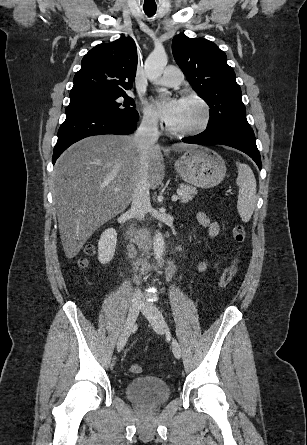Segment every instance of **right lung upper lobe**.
Masks as SVG:
<instances>
[{
    "label": "right lung upper lobe",
    "mask_w": 307,
    "mask_h": 445,
    "mask_svg": "<svg viewBox=\"0 0 307 445\" xmlns=\"http://www.w3.org/2000/svg\"><path fill=\"white\" fill-rule=\"evenodd\" d=\"M136 68L137 49L131 37L99 44L83 57L70 98L126 94L125 90L132 87Z\"/></svg>",
    "instance_id": "1"
}]
</instances>
